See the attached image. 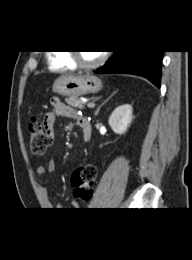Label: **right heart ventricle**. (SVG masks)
I'll return each mask as SVG.
<instances>
[{
  "mask_svg": "<svg viewBox=\"0 0 192 260\" xmlns=\"http://www.w3.org/2000/svg\"><path fill=\"white\" fill-rule=\"evenodd\" d=\"M49 68L53 71H72L76 69L75 64L69 57L68 52L58 51L49 55L48 58Z\"/></svg>",
  "mask_w": 192,
  "mask_h": 260,
  "instance_id": "e07e8e85",
  "label": "right heart ventricle"
}]
</instances>
